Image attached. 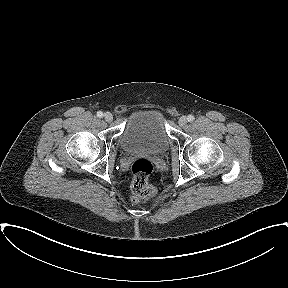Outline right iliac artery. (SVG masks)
Listing matches in <instances>:
<instances>
[{"mask_svg":"<svg viewBox=\"0 0 288 288\" xmlns=\"http://www.w3.org/2000/svg\"><path fill=\"white\" fill-rule=\"evenodd\" d=\"M97 117L102 118L103 117V113L101 111L97 112Z\"/></svg>","mask_w":288,"mask_h":288,"instance_id":"right-iliac-artery-1","label":"right iliac artery"}]
</instances>
